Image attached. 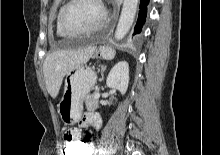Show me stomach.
<instances>
[{
    "mask_svg": "<svg viewBox=\"0 0 220 155\" xmlns=\"http://www.w3.org/2000/svg\"><path fill=\"white\" fill-rule=\"evenodd\" d=\"M96 55L100 58H112L114 52L100 47ZM96 80V73L86 66H80L66 76L63 96L58 104V113L65 125H74L79 121L83 112V101L94 88Z\"/></svg>",
    "mask_w": 220,
    "mask_h": 155,
    "instance_id": "obj_1",
    "label": "stomach"
}]
</instances>
